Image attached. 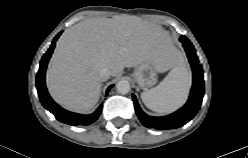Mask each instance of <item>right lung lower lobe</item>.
<instances>
[{"instance_id":"1","label":"right lung lower lobe","mask_w":248,"mask_h":158,"mask_svg":"<svg viewBox=\"0 0 248 158\" xmlns=\"http://www.w3.org/2000/svg\"><path fill=\"white\" fill-rule=\"evenodd\" d=\"M62 32H60L53 40L52 45L48 49V51L44 54V56L41 59L40 62V68L36 76V87L38 90V95L40 98V101L42 105L50 111L54 116L59 120L60 122L69 124V125H90L93 122L96 121V119L99 117L101 110H102V105L93 113L90 115H81L77 113H72L69 111L64 110L60 106H58L49 96L46 85H45V72H46V67L48 64V61L52 55V52L55 47V42L58 39ZM113 87L111 85L107 92Z\"/></svg>"}]
</instances>
